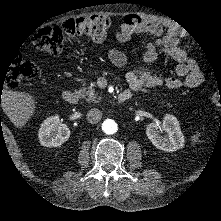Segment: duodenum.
I'll list each match as a JSON object with an SVG mask.
<instances>
[{"label": "duodenum", "mask_w": 221, "mask_h": 221, "mask_svg": "<svg viewBox=\"0 0 221 221\" xmlns=\"http://www.w3.org/2000/svg\"><path fill=\"white\" fill-rule=\"evenodd\" d=\"M130 96H131L130 92L124 91L119 94L118 102L123 103L126 100H128ZM62 97L66 102L70 104H75L80 99V94L76 91L66 90L63 92Z\"/></svg>", "instance_id": "410a0bca"}]
</instances>
